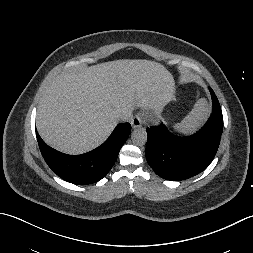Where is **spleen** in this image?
<instances>
[{"label": "spleen", "instance_id": "spleen-1", "mask_svg": "<svg viewBox=\"0 0 253 253\" xmlns=\"http://www.w3.org/2000/svg\"><path fill=\"white\" fill-rule=\"evenodd\" d=\"M210 107L205 99H199L192 111L185 118L174 125V130L181 134H191L197 130L208 118Z\"/></svg>", "mask_w": 253, "mask_h": 253}]
</instances>
